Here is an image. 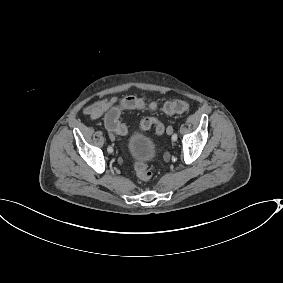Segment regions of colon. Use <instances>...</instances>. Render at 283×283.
<instances>
[{"mask_svg": "<svg viewBox=\"0 0 283 283\" xmlns=\"http://www.w3.org/2000/svg\"><path fill=\"white\" fill-rule=\"evenodd\" d=\"M126 109H141L156 111L161 110L167 114L183 113L189 109V103L184 100H175L166 102L162 107H158L155 103L147 104L142 99L136 97L124 98L120 105L110 111H108L104 118V124L107 130L112 133L125 134L126 127L120 122V114ZM155 127L158 134L163 133V124L154 117H147L141 122L142 129H149ZM134 170L139 180L147 182L152 178V172L149 170L146 163L143 161H136L134 163Z\"/></svg>", "mask_w": 283, "mask_h": 283, "instance_id": "colon-1", "label": "colon"}]
</instances>
